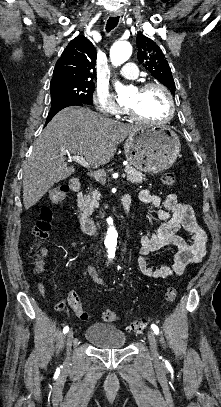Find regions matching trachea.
I'll use <instances>...</instances> for the list:
<instances>
[{
  "label": "trachea",
  "instance_id": "1",
  "mask_svg": "<svg viewBox=\"0 0 221 407\" xmlns=\"http://www.w3.org/2000/svg\"><path fill=\"white\" fill-rule=\"evenodd\" d=\"M119 22V17H110L107 21L106 24V30L107 32L111 31L112 29H114Z\"/></svg>",
  "mask_w": 221,
  "mask_h": 407
}]
</instances>
